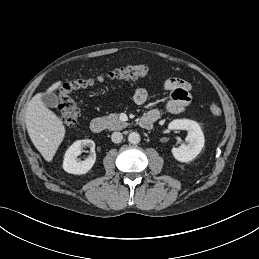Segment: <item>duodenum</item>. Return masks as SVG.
<instances>
[{"instance_id": "410a0bca", "label": "duodenum", "mask_w": 259, "mask_h": 259, "mask_svg": "<svg viewBox=\"0 0 259 259\" xmlns=\"http://www.w3.org/2000/svg\"><path fill=\"white\" fill-rule=\"evenodd\" d=\"M155 120H156L155 118L150 116H142L139 120V125L143 128H147V127H150L155 122ZM90 128L94 133L102 132L105 128L104 120L98 117L92 119L90 123Z\"/></svg>"}]
</instances>
